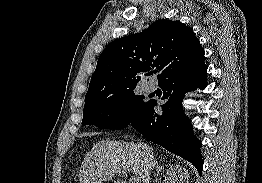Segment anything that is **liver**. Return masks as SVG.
<instances>
[{"label":"liver","instance_id":"obj_1","mask_svg":"<svg viewBox=\"0 0 262 183\" xmlns=\"http://www.w3.org/2000/svg\"><path fill=\"white\" fill-rule=\"evenodd\" d=\"M149 147V146H148ZM152 151L153 147H149ZM131 169L143 183H150V170L139 144L105 139L93 145L82 161L80 183H103L120 170ZM114 183H126L117 180Z\"/></svg>","mask_w":262,"mask_h":183}]
</instances>
